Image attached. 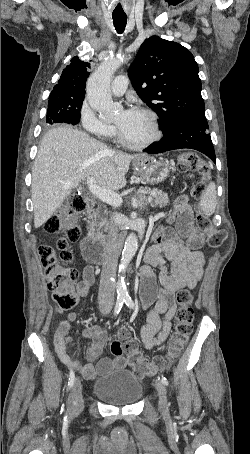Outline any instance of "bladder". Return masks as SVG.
<instances>
[{
	"mask_svg": "<svg viewBox=\"0 0 250 454\" xmlns=\"http://www.w3.org/2000/svg\"><path fill=\"white\" fill-rule=\"evenodd\" d=\"M92 391L106 404L132 405L141 399L144 384L137 374L121 368L96 379L93 382Z\"/></svg>",
	"mask_w": 250,
	"mask_h": 454,
	"instance_id": "31cf9c89",
	"label": "bladder"
}]
</instances>
